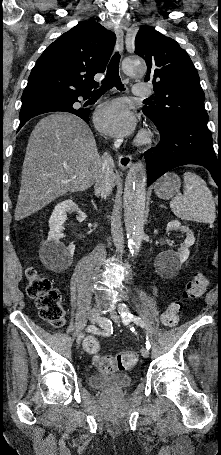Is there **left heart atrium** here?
<instances>
[{"label":"left heart atrium","instance_id":"left-heart-atrium-1","mask_svg":"<svg viewBox=\"0 0 221 455\" xmlns=\"http://www.w3.org/2000/svg\"><path fill=\"white\" fill-rule=\"evenodd\" d=\"M95 123L104 133L123 137L133 132L135 116L121 101H112L101 106L95 113Z\"/></svg>","mask_w":221,"mask_h":455}]
</instances>
